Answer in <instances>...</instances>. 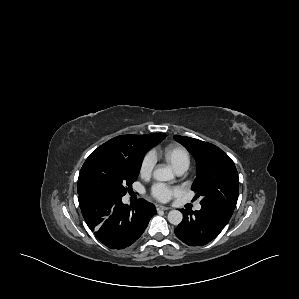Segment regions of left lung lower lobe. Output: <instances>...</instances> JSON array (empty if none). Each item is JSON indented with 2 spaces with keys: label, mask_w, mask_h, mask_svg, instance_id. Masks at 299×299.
Listing matches in <instances>:
<instances>
[{
  "label": "left lung lower lobe",
  "mask_w": 299,
  "mask_h": 299,
  "mask_svg": "<svg viewBox=\"0 0 299 299\" xmlns=\"http://www.w3.org/2000/svg\"><path fill=\"white\" fill-rule=\"evenodd\" d=\"M183 221L175 229L176 236L191 246H203L212 241L228 223L226 218L216 210L201 206L199 211L182 209Z\"/></svg>",
  "instance_id": "left-lung-lower-lobe-1"
}]
</instances>
